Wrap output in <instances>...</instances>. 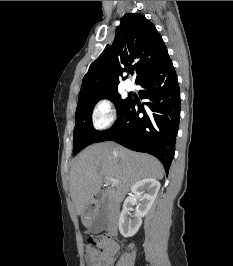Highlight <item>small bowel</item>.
<instances>
[{"label":"small bowel","instance_id":"obj_1","mask_svg":"<svg viewBox=\"0 0 233 266\" xmlns=\"http://www.w3.org/2000/svg\"><path fill=\"white\" fill-rule=\"evenodd\" d=\"M117 251L118 245L111 239L102 244L101 249L88 246L87 264L88 266H113Z\"/></svg>","mask_w":233,"mask_h":266}]
</instances>
